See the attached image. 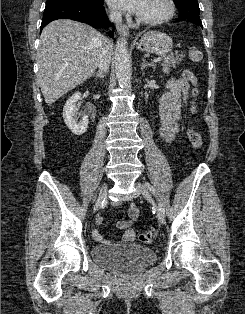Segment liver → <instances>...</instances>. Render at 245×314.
Returning <instances> with one entry per match:
<instances>
[{
    "label": "liver",
    "instance_id": "liver-1",
    "mask_svg": "<svg viewBox=\"0 0 245 314\" xmlns=\"http://www.w3.org/2000/svg\"><path fill=\"white\" fill-rule=\"evenodd\" d=\"M105 39L91 26L69 19L53 21L43 29L37 79L47 105L92 76Z\"/></svg>",
    "mask_w": 245,
    "mask_h": 314
}]
</instances>
